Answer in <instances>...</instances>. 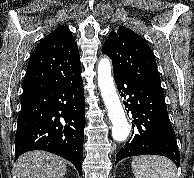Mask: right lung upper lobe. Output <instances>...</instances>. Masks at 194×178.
<instances>
[{
    "label": "right lung upper lobe",
    "instance_id": "right-lung-upper-lobe-1",
    "mask_svg": "<svg viewBox=\"0 0 194 178\" xmlns=\"http://www.w3.org/2000/svg\"><path fill=\"white\" fill-rule=\"evenodd\" d=\"M81 78L80 56L72 32L59 26L30 55L23 94L72 83Z\"/></svg>",
    "mask_w": 194,
    "mask_h": 178
}]
</instances>
